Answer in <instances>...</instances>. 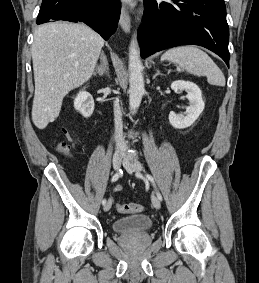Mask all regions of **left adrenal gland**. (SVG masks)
<instances>
[{"mask_svg":"<svg viewBox=\"0 0 259 283\" xmlns=\"http://www.w3.org/2000/svg\"><path fill=\"white\" fill-rule=\"evenodd\" d=\"M158 75H162V74H161L160 71L157 69L155 75L153 76V79H155Z\"/></svg>","mask_w":259,"mask_h":283,"instance_id":"left-adrenal-gland-1","label":"left adrenal gland"}]
</instances>
